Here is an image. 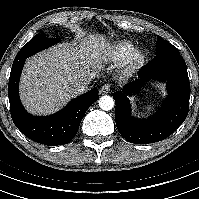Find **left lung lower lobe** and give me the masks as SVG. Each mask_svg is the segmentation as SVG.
<instances>
[{"mask_svg":"<svg viewBox=\"0 0 199 199\" xmlns=\"http://www.w3.org/2000/svg\"><path fill=\"white\" fill-rule=\"evenodd\" d=\"M129 82L123 92H115V121L120 134L135 144L155 143L170 136L186 119L189 110L190 82L186 63L180 53L157 55ZM167 81L168 96L156 114L148 119L131 116L127 95L137 92L151 79Z\"/></svg>","mask_w":199,"mask_h":199,"instance_id":"obj_1","label":"left lung lower lobe"}]
</instances>
